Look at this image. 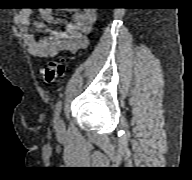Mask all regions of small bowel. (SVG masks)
Returning a JSON list of instances; mask_svg holds the SVG:
<instances>
[{"mask_svg": "<svg viewBox=\"0 0 192 180\" xmlns=\"http://www.w3.org/2000/svg\"><path fill=\"white\" fill-rule=\"evenodd\" d=\"M39 14L42 21L34 23L31 21L30 10L23 9L18 14V21L30 54L39 58L55 57L64 52L75 53L87 47L88 35L96 20L94 10L75 12L68 23L55 18L48 8H42ZM51 24H65V29L51 28L49 26ZM31 25L37 32L46 33L47 36L36 37L30 31Z\"/></svg>", "mask_w": 192, "mask_h": 180, "instance_id": "small-bowel-1", "label": "small bowel"}]
</instances>
